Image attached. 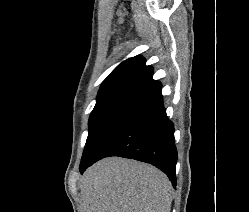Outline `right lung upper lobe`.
<instances>
[{
  "mask_svg": "<svg viewBox=\"0 0 249 212\" xmlns=\"http://www.w3.org/2000/svg\"><path fill=\"white\" fill-rule=\"evenodd\" d=\"M145 62L140 55L123 61L103 81L97 98L116 93L139 97L161 87V83L152 78L153 68Z\"/></svg>",
  "mask_w": 249,
  "mask_h": 212,
  "instance_id": "1",
  "label": "right lung upper lobe"
}]
</instances>
